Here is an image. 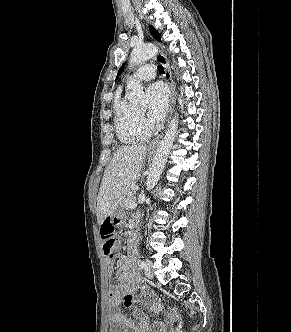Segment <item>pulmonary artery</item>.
<instances>
[{"label":"pulmonary artery","instance_id":"1","mask_svg":"<svg viewBox=\"0 0 291 332\" xmlns=\"http://www.w3.org/2000/svg\"><path fill=\"white\" fill-rule=\"evenodd\" d=\"M156 76V70L152 65H144L140 67L134 74L133 78L140 81H150Z\"/></svg>","mask_w":291,"mask_h":332}]
</instances>
